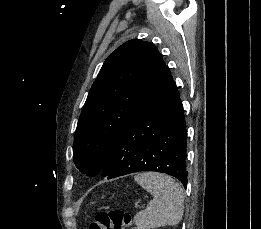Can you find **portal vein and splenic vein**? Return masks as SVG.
I'll return each instance as SVG.
<instances>
[{
    "label": "portal vein and splenic vein",
    "instance_id": "portal-vein-and-splenic-vein-1",
    "mask_svg": "<svg viewBox=\"0 0 261 229\" xmlns=\"http://www.w3.org/2000/svg\"><path fill=\"white\" fill-rule=\"evenodd\" d=\"M132 207H133V208H138V207H139V204H138V203H133V204H132Z\"/></svg>",
    "mask_w": 261,
    "mask_h": 229
}]
</instances>
